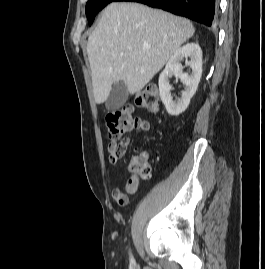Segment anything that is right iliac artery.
<instances>
[{
  "label": "right iliac artery",
  "mask_w": 265,
  "mask_h": 269,
  "mask_svg": "<svg viewBox=\"0 0 265 269\" xmlns=\"http://www.w3.org/2000/svg\"><path fill=\"white\" fill-rule=\"evenodd\" d=\"M130 261L134 262L133 256L130 254Z\"/></svg>",
  "instance_id": "82829eb1"
}]
</instances>
